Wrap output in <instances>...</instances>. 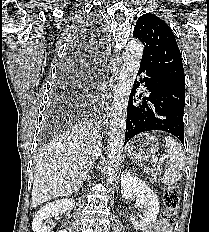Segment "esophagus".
Listing matches in <instances>:
<instances>
[{
	"instance_id": "1",
	"label": "esophagus",
	"mask_w": 209,
	"mask_h": 232,
	"mask_svg": "<svg viewBox=\"0 0 209 232\" xmlns=\"http://www.w3.org/2000/svg\"><path fill=\"white\" fill-rule=\"evenodd\" d=\"M120 64V58L117 55H114L112 61L110 62L107 74H108V81L105 83V90L104 94H102L101 101H100V109L102 114H105L108 109V100H109V92L113 88L114 77L118 72V67Z\"/></svg>"
}]
</instances>
